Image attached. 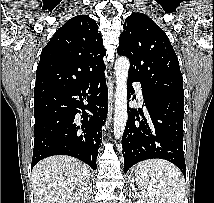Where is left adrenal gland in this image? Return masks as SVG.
I'll list each match as a JSON object with an SVG mask.
<instances>
[{
  "mask_svg": "<svg viewBox=\"0 0 214 203\" xmlns=\"http://www.w3.org/2000/svg\"><path fill=\"white\" fill-rule=\"evenodd\" d=\"M131 194L133 195V193H132L131 190H130V195H131Z\"/></svg>",
  "mask_w": 214,
  "mask_h": 203,
  "instance_id": "obj_1",
  "label": "left adrenal gland"
}]
</instances>
